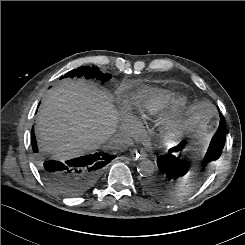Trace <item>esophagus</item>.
<instances>
[{
	"instance_id": "obj_1",
	"label": "esophagus",
	"mask_w": 245,
	"mask_h": 245,
	"mask_svg": "<svg viewBox=\"0 0 245 245\" xmlns=\"http://www.w3.org/2000/svg\"><path fill=\"white\" fill-rule=\"evenodd\" d=\"M130 154L134 160H144L147 158L146 152L144 150H131Z\"/></svg>"
}]
</instances>
